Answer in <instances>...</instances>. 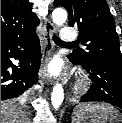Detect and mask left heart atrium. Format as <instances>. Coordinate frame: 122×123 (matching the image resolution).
<instances>
[{
  "label": "left heart atrium",
  "instance_id": "39dd6f15",
  "mask_svg": "<svg viewBox=\"0 0 122 123\" xmlns=\"http://www.w3.org/2000/svg\"><path fill=\"white\" fill-rule=\"evenodd\" d=\"M47 71L52 75H57L61 71V65L58 60L52 61L47 68Z\"/></svg>",
  "mask_w": 122,
  "mask_h": 123
}]
</instances>
